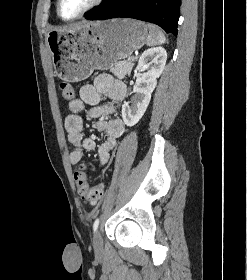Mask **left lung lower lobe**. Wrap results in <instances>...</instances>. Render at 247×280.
Instances as JSON below:
<instances>
[{
  "label": "left lung lower lobe",
  "instance_id": "obj_1",
  "mask_svg": "<svg viewBox=\"0 0 247 280\" xmlns=\"http://www.w3.org/2000/svg\"><path fill=\"white\" fill-rule=\"evenodd\" d=\"M181 0H109L87 14L88 20L134 18L162 27L177 36Z\"/></svg>",
  "mask_w": 247,
  "mask_h": 280
}]
</instances>
